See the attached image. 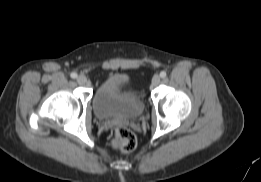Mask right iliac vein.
Segmentation results:
<instances>
[{
    "instance_id": "1",
    "label": "right iliac vein",
    "mask_w": 261,
    "mask_h": 182,
    "mask_svg": "<svg viewBox=\"0 0 261 182\" xmlns=\"http://www.w3.org/2000/svg\"><path fill=\"white\" fill-rule=\"evenodd\" d=\"M77 82L80 84V85H85L87 83V78L84 76V75H79L77 77Z\"/></svg>"
}]
</instances>
